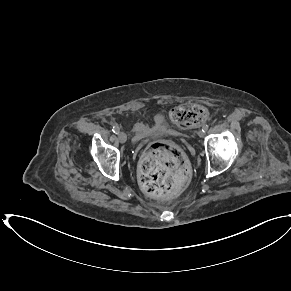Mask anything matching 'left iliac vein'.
Segmentation results:
<instances>
[{
  "label": "left iliac vein",
  "instance_id": "obj_1",
  "mask_svg": "<svg viewBox=\"0 0 291 291\" xmlns=\"http://www.w3.org/2000/svg\"><path fill=\"white\" fill-rule=\"evenodd\" d=\"M197 134H198V136H199L200 138H203L204 135H205V132H203V130L200 129V130L197 132Z\"/></svg>",
  "mask_w": 291,
  "mask_h": 291
}]
</instances>
